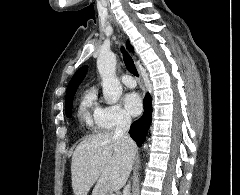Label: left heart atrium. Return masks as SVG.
Segmentation results:
<instances>
[{
	"label": "left heart atrium",
	"mask_w": 240,
	"mask_h": 195,
	"mask_svg": "<svg viewBox=\"0 0 240 195\" xmlns=\"http://www.w3.org/2000/svg\"><path fill=\"white\" fill-rule=\"evenodd\" d=\"M126 106L133 115H138L142 111L141 97L137 92H132L126 96Z\"/></svg>",
	"instance_id": "obj_1"
}]
</instances>
